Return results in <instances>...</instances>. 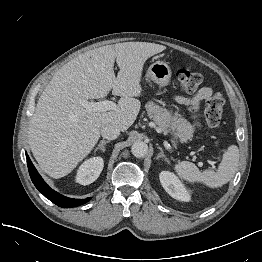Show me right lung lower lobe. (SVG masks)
Wrapping results in <instances>:
<instances>
[{
    "label": "right lung lower lobe",
    "instance_id": "1",
    "mask_svg": "<svg viewBox=\"0 0 262 262\" xmlns=\"http://www.w3.org/2000/svg\"><path fill=\"white\" fill-rule=\"evenodd\" d=\"M26 158H27V165H28L29 174H30V177L32 179V182L34 183L36 188L46 198H48L50 201H52L56 205H58L60 207L69 208V207H75V206L82 205V204L88 202L89 200H91V198H87V199H72V198H68V197H65L63 195H60L59 193H57L56 191L51 189L44 182L42 177L39 175V173L37 172V170L33 166L32 162H31V160H30V158H29V156L27 154H26Z\"/></svg>",
    "mask_w": 262,
    "mask_h": 262
}]
</instances>
